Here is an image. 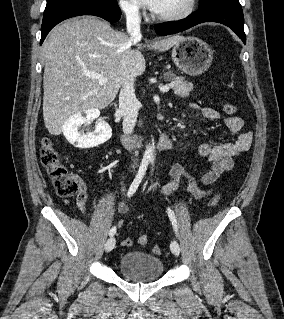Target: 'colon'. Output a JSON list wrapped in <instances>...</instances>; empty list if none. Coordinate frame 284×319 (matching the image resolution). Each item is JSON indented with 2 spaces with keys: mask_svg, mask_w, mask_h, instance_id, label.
<instances>
[{
  "mask_svg": "<svg viewBox=\"0 0 284 319\" xmlns=\"http://www.w3.org/2000/svg\"><path fill=\"white\" fill-rule=\"evenodd\" d=\"M223 111L226 114H234L236 111V107L231 103H225L223 105ZM40 160L42 165L47 170V173L52 181L53 187L56 193L64 198L75 196L79 193L82 183L79 177L75 174L68 172L66 167L62 164L61 156L58 150L55 148L52 141L48 138H43L41 141L40 147ZM220 201V195H214L210 202V207H215ZM138 242L140 245L148 244V237L146 235H141L138 238ZM132 240L130 238H126L122 241L123 246H131ZM154 254L159 255L162 252L160 246L155 245L152 248Z\"/></svg>",
  "mask_w": 284,
  "mask_h": 319,
  "instance_id": "obj_1",
  "label": "colon"
}]
</instances>
